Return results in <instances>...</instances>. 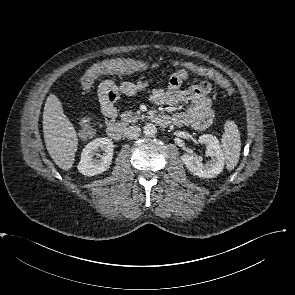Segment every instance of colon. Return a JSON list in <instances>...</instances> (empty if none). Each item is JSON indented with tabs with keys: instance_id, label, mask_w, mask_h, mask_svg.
Segmentation results:
<instances>
[{
	"instance_id": "obj_1",
	"label": "colon",
	"mask_w": 295,
	"mask_h": 295,
	"mask_svg": "<svg viewBox=\"0 0 295 295\" xmlns=\"http://www.w3.org/2000/svg\"><path fill=\"white\" fill-rule=\"evenodd\" d=\"M189 64H185L188 70L194 73H198L201 75L208 76L212 79L216 84H218L227 95H232L234 92V88L231 86L230 82L224 78L220 73L215 70L208 69L206 67L192 65V67L188 68ZM132 72V66L127 62L119 59H111L105 60L98 64H95L91 67L85 74L83 78V88L89 89L93 83V81L99 76L103 74H128ZM187 77L186 70H180L174 73L170 77V83L175 86L180 87L183 84V81ZM80 136L82 137H91L93 134V128L91 121L88 117L82 118L80 122Z\"/></svg>"
}]
</instances>
